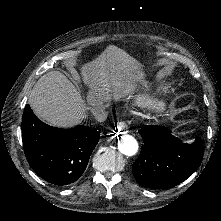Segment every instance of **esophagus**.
Here are the masks:
<instances>
[{"instance_id": "esophagus-1", "label": "esophagus", "mask_w": 221, "mask_h": 221, "mask_svg": "<svg viewBox=\"0 0 221 221\" xmlns=\"http://www.w3.org/2000/svg\"><path fill=\"white\" fill-rule=\"evenodd\" d=\"M119 127H120V131L121 132H127L128 131V125L124 121L120 122Z\"/></svg>"}]
</instances>
